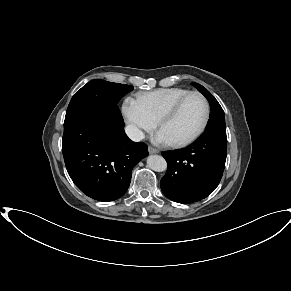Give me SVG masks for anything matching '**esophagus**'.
<instances>
[{
  "instance_id": "obj_1",
  "label": "esophagus",
  "mask_w": 291,
  "mask_h": 291,
  "mask_svg": "<svg viewBox=\"0 0 291 291\" xmlns=\"http://www.w3.org/2000/svg\"><path fill=\"white\" fill-rule=\"evenodd\" d=\"M148 152L150 154H157V153H159V151L157 149H155V148H153L151 146L148 147Z\"/></svg>"
}]
</instances>
